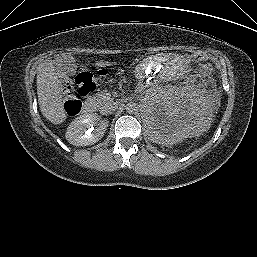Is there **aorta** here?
<instances>
[{"mask_svg":"<svg viewBox=\"0 0 257 257\" xmlns=\"http://www.w3.org/2000/svg\"><path fill=\"white\" fill-rule=\"evenodd\" d=\"M125 110L129 114H133V113H135L138 110L137 104L134 103V102H128L125 105Z\"/></svg>","mask_w":257,"mask_h":257,"instance_id":"aorta-1","label":"aorta"}]
</instances>
